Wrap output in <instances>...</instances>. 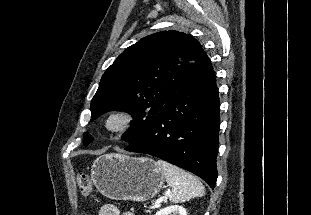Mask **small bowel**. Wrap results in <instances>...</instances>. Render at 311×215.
Returning a JSON list of instances; mask_svg holds the SVG:
<instances>
[{"instance_id": "obj_1", "label": "small bowel", "mask_w": 311, "mask_h": 215, "mask_svg": "<svg viewBox=\"0 0 311 215\" xmlns=\"http://www.w3.org/2000/svg\"><path fill=\"white\" fill-rule=\"evenodd\" d=\"M98 215H134L132 212H124L120 214L119 209L112 204H104L99 209Z\"/></svg>"}]
</instances>
